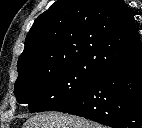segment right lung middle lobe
Instances as JSON below:
<instances>
[{"mask_svg": "<svg viewBox=\"0 0 142 128\" xmlns=\"http://www.w3.org/2000/svg\"><path fill=\"white\" fill-rule=\"evenodd\" d=\"M96 76L83 66H66L37 72L18 79L14 93L30 112L55 111L85 91Z\"/></svg>", "mask_w": 142, "mask_h": 128, "instance_id": "obj_1", "label": "right lung middle lobe"}]
</instances>
